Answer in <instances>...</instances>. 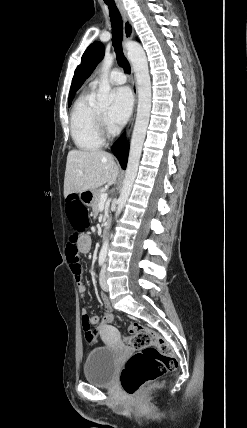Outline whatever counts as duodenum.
Here are the masks:
<instances>
[{
  "instance_id": "1",
  "label": "duodenum",
  "mask_w": 247,
  "mask_h": 428,
  "mask_svg": "<svg viewBox=\"0 0 247 428\" xmlns=\"http://www.w3.org/2000/svg\"><path fill=\"white\" fill-rule=\"evenodd\" d=\"M108 228H109V223H108V222H106V223L103 225L102 237H104V236L106 235Z\"/></svg>"
}]
</instances>
